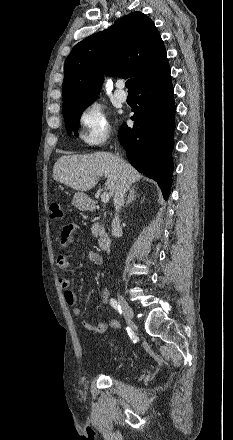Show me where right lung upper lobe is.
Segmentation results:
<instances>
[{"mask_svg":"<svg viewBox=\"0 0 233 440\" xmlns=\"http://www.w3.org/2000/svg\"><path fill=\"white\" fill-rule=\"evenodd\" d=\"M168 65L152 20L141 12L130 13L74 46L65 62L62 109L95 100L104 74L132 77L135 88Z\"/></svg>","mask_w":233,"mask_h":440,"instance_id":"cb5924a9","label":"right lung upper lobe"}]
</instances>
